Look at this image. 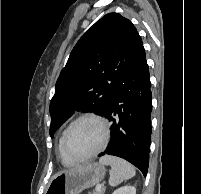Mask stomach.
Instances as JSON below:
<instances>
[{"label":"stomach","instance_id":"0dacf381","mask_svg":"<svg viewBox=\"0 0 201 194\" xmlns=\"http://www.w3.org/2000/svg\"><path fill=\"white\" fill-rule=\"evenodd\" d=\"M105 168L99 163H88L58 173L51 180L46 194H79L103 180Z\"/></svg>","mask_w":201,"mask_h":194}]
</instances>
